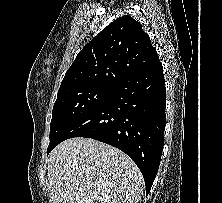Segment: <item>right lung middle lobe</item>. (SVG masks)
<instances>
[{"label":"right lung middle lobe","mask_w":222,"mask_h":203,"mask_svg":"<svg viewBox=\"0 0 222 203\" xmlns=\"http://www.w3.org/2000/svg\"><path fill=\"white\" fill-rule=\"evenodd\" d=\"M111 90L101 86H74L58 90L52 111L48 147L67 127L102 103Z\"/></svg>","instance_id":"obj_1"}]
</instances>
